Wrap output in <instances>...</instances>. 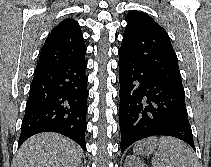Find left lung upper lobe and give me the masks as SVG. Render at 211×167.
<instances>
[{
	"instance_id": "obj_1",
	"label": "left lung upper lobe",
	"mask_w": 211,
	"mask_h": 167,
	"mask_svg": "<svg viewBox=\"0 0 211 167\" xmlns=\"http://www.w3.org/2000/svg\"><path fill=\"white\" fill-rule=\"evenodd\" d=\"M121 51L172 87L184 91L178 59L167 32L152 17L131 11L126 15Z\"/></svg>"
}]
</instances>
